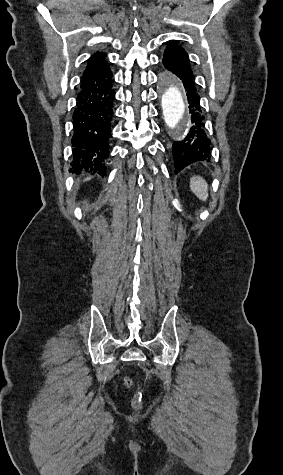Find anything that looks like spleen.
<instances>
[{"label": "spleen", "mask_w": 283, "mask_h": 475, "mask_svg": "<svg viewBox=\"0 0 283 475\" xmlns=\"http://www.w3.org/2000/svg\"><path fill=\"white\" fill-rule=\"evenodd\" d=\"M190 190H192L193 194H195L199 200L206 202L208 198V184L201 176H193V178H190Z\"/></svg>", "instance_id": "1"}]
</instances>
